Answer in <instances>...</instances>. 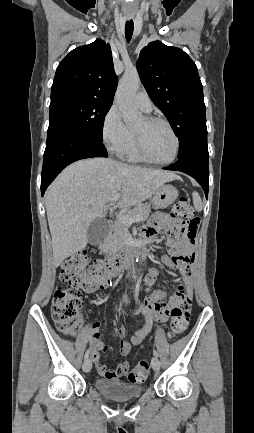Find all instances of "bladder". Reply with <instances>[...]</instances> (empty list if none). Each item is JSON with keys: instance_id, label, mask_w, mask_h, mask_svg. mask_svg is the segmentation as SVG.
Listing matches in <instances>:
<instances>
[{"instance_id": "obj_1", "label": "bladder", "mask_w": 254, "mask_h": 433, "mask_svg": "<svg viewBox=\"0 0 254 433\" xmlns=\"http://www.w3.org/2000/svg\"><path fill=\"white\" fill-rule=\"evenodd\" d=\"M96 390L105 397L111 399H132L139 397L144 387L122 380L96 379L94 381Z\"/></svg>"}]
</instances>
